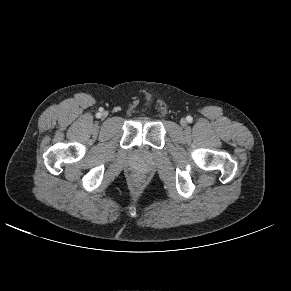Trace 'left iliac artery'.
<instances>
[{
	"mask_svg": "<svg viewBox=\"0 0 291 291\" xmlns=\"http://www.w3.org/2000/svg\"><path fill=\"white\" fill-rule=\"evenodd\" d=\"M192 120H193V118H192L191 116H188V117H187V121H188L189 123H191Z\"/></svg>",
	"mask_w": 291,
	"mask_h": 291,
	"instance_id": "1",
	"label": "left iliac artery"
}]
</instances>
